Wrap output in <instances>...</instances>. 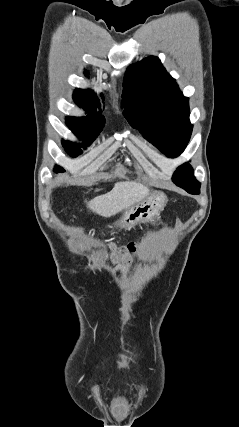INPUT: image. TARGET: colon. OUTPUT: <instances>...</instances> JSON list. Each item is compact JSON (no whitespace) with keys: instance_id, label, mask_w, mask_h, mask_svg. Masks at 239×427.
<instances>
[{"instance_id":"colon-1","label":"colon","mask_w":239,"mask_h":427,"mask_svg":"<svg viewBox=\"0 0 239 427\" xmlns=\"http://www.w3.org/2000/svg\"><path fill=\"white\" fill-rule=\"evenodd\" d=\"M138 244L135 242H129L125 245H110V251L112 255L113 263H129L132 256L138 251Z\"/></svg>"}]
</instances>
